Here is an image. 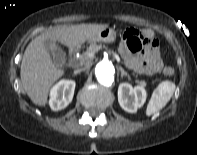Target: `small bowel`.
<instances>
[{"instance_id": "1", "label": "small bowel", "mask_w": 197, "mask_h": 155, "mask_svg": "<svg viewBox=\"0 0 197 155\" xmlns=\"http://www.w3.org/2000/svg\"><path fill=\"white\" fill-rule=\"evenodd\" d=\"M120 53L126 66L140 75L157 73L163 68L157 45L148 46V49L144 53L134 55L128 48L126 39L123 38L120 46Z\"/></svg>"}]
</instances>
